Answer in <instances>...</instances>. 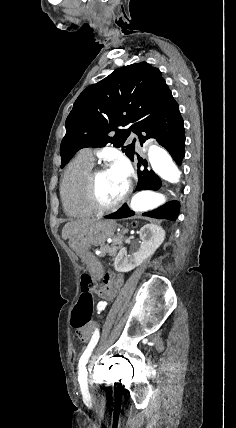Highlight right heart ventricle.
<instances>
[{"mask_svg":"<svg viewBox=\"0 0 236 428\" xmlns=\"http://www.w3.org/2000/svg\"><path fill=\"white\" fill-rule=\"evenodd\" d=\"M129 168L128 163L123 160ZM94 168L93 158L87 150L81 151L68 166L60 186L65 211L73 217H89L97 213L88 203L85 185Z\"/></svg>","mask_w":236,"mask_h":428,"instance_id":"e07e8e85","label":"right heart ventricle"}]
</instances>
